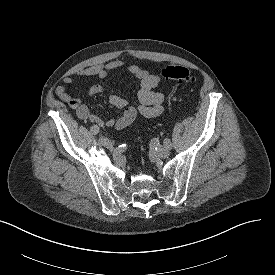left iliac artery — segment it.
<instances>
[{
  "label": "left iliac artery",
  "mask_w": 275,
  "mask_h": 275,
  "mask_svg": "<svg viewBox=\"0 0 275 275\" xmlns=\"http://www.w3.org/2000/svg\"><path fill=\"white\" fill-rule=\"evenodd\" d=\"M164 145H165V147L168 148V149H171V148H172V144H171V142H170L169 139H165V140H164Z\"/></svg>",
  "instance_id": "1"
}]
</instances>
